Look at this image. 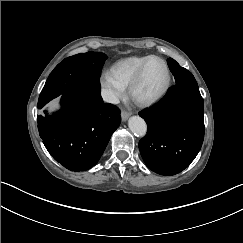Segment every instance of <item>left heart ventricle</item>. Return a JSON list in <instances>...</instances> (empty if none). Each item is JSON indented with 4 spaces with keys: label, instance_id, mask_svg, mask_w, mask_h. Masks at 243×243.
I'll use <instances>...</instances> for the list:
<instances>
[{
    "label": "left heart ventricle",
    "instance_id": "obj_1",
    "mask_svg": "<svg viewBox=\"0 0 243 243\" xmlns=\"http://www.w3.org/2000/svg\"><path fill=\"white\" fill-rule=\"evenodd\" d=\"M167 82V70L160 61H153L138 86L135 96L137 99L147 100L155 97L165 87Z\"/></svg>",
    "mask_w": 243,
    "mask_h": 243
}]
</instances>
